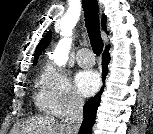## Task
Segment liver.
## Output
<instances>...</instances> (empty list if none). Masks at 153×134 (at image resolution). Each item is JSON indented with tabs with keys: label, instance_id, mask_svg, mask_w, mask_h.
<instances>
[{
	"label": "liver",
	"instance_id": "1",
	"mask_svg": "<svg viewBox=\"0 0 153 134\" xmlns=\"http://www.w3.org/2000/svg\"><path fill=\"white\" fill-rule=\"evenodd\" d=\"M14 134H64L63 124L50 117L32 118L30 121L17 123Z\"/></svg>",
	"mask_w": 153,
	"mask_h": 134
}]
</instances>
